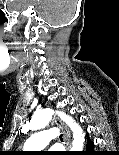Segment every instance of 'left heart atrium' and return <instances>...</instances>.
Here are the masks:
<instances>
[{"mask_svg":"<svg viewBox=\"0 0 119 155\" xmlns=\"http://www.w3.org/2000/svg\"><path fill=\"white\" fill-rule=\"evenodd\" d=\"M50 155H60V154H57L54 150L50 152Z\"/></svg>","mask_w":119,"mask_h":155,"instance_id":"39dd6f15","label":"left heart atrium"}]
</instances>
